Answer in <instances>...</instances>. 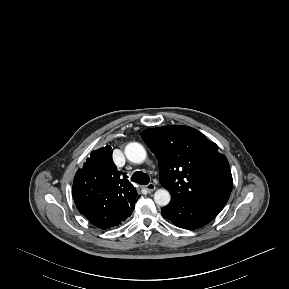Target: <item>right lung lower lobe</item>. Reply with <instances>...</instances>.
Returning <instances> with one entry per match:
<instances>
[{
  "mask_svg": "<svg viewBox=\"0 0 289 289\" xmlns=\"http://www.w3.org/2000/svg\"><path fill=\"white\" fill-rule=\"evenodd\" d=\"M134 210V205H131L129 207H122L118 209L117 211L108 214L107 216H101V217H93V216H85L91 224L94 226L105 230L110 227L117 226L120 222L127 219Z\"/></svg>",
  "mask_w": 289,
  "mask_h": 289,
  "instance_id": "obj_1",
  "label": "right lung lower lobe"
}]
</instances>
